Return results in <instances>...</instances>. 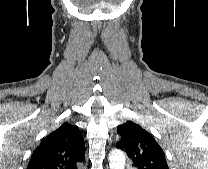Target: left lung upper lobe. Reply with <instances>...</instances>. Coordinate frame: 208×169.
Masks as SVG:
<instances>
[{
  "label": "left lung upper lobe",
  "mask_w": 208,
  "mask_h": 169,
  "mask_svg": "<svg viewBox=\"0 0 208 169\" xmlns=\"http://www.w3.org/2000/svg\"><path fill=\"white\" fill-rule=\"evenodd\" d=\"M120 141L116 148L122 149L138 169H168L162 148L153 136L132 121L119 125Z\"/></svg>",
  "instance_id": "5c2ea615"
}]
</instances>
